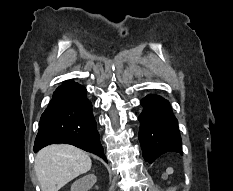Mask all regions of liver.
Returning a JSON list of instances; mask_svg holds the SVG:
<instances>
[{
	"mask_svg": "<svg viewBox=\"0 0 233 191\" xmlns=\"http://www.w3.org/2000/svg\"><path fill=\"white\" fill-rule=\"evenodd\" d=\"M88 154L67 144H53L35 157V172L42 191H58L68 182L91 169Z\"/></svg>",
	"mask_w": 233,
	"mask_h": 191,
	"instance_id": "liver-1",
	"label": "liver"
}]
</instances>
